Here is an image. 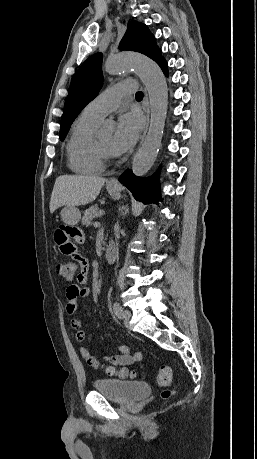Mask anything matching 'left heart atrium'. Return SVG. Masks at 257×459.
<instances>
[{
	"label": "left heart atrium",
	"instance_id": "39dd6f15",
	"mask_svg": "<svg viewBox=\"0 0 257 459\" xmlns=\"http://www.w3.org/2000/svg\"><path fill=\"white\" fill-rule=\"evenodd\" d=\"M142 128L141 117L137 113L122 115L113 137V152L122 154L133 147Z\"/></svg>",
	"mask_w": 257,
	"mask_h": 459
}]
</instances>
